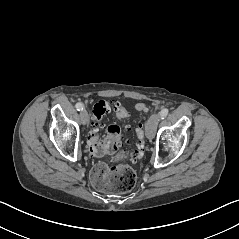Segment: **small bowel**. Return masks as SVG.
Masks as SVG:
<instances>
[{"label":"small bowel","instance_id":"obj_1","mask_svg":"<svg viewBox=\"0 0 239 239\" xmlns=\"http://www.w3.org/2000/svg\"><path fill=\"white\" fill-rule=\"evenodd\" d=\"M114 107H115V110H116V114L121 112V111H125L124 107L118 102L114 103Z\"/></svg>","mask_w":239,"mask_h":239}]
</instances>
